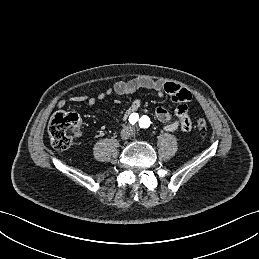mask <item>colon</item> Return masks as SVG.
<instances>
[{
	"label": "colon",
	"mask_w": 259,
	"mask_h": 259,
	"mask_svg": "<svg viewBox=\"0 0 259 259\" xmlns=\"http://www.w3.org/2000/svg\"><path fill=\"white\" fill-rule=\"evenodd\" d=\"M81 124L80 117L75 113L59 112L55 114L48 125L52 146L57 150H65L72 144L73 138ZM196 127L201 134L207 132L205 119H198Z\"/></svg>",
	"instance_id": "5ec220e1"
}]
</instances>
